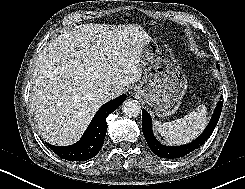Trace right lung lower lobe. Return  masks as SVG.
Returning <instances> with one entry per match:
<instances>
[{"label":"right lung lower lobe","mask_w":245,"mask_h":189,"mask_svg":"<svg viewBox=\"0 0 245 189\" xmlns=\"http://www.w3.org/2000/svg\"><path fill=\"white\" fill-rule=\"evenodd\" d=\"M126 97L127 95L123 94L105 103L97 111L84 135L77 143L65 147L46 144L59 157L69 161H86L93 158L98 154L104 143L107 131L106 118L125 101Z\"/></svg>","instance_id":"obj_1"}]
</instances>
